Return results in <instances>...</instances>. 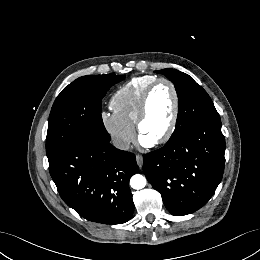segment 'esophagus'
I'll use <instances>...</instances> for the list:
<instances>
[{"label": "esophagus", "mask_w": 260, "mask_h": 260, "mask_svg": "<svg viewBox=\"0 0 260 260\" xmlns=\"http://www.w3.org/2000/svg\"><path fill=\"white\" fill-rule=\"evenodd\" d=\"M136 162H137L138 166L141 168L142 165H143V156L140 155V154H137L136 155Z\"/></svg>", "instance_id": "obj_1"}]
</instances>
